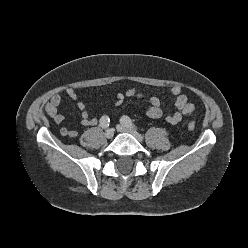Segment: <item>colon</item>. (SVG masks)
<instances>
[{
    "instance_id": "1",
    "label": "colon",
    "mask_w": 248,
    "mask_h": 248,
    "mask_svg": "<svg viewBox=\"0 0 248 248\" xmlns=\"http://www.w3.org/2000/svg\"><path fill=\"white\" fill-rule=\"evenodd\" d=\"M189 130H194L195 129V123L193 121H190L187 125Z\"/></svg>"
}]
</instances>
